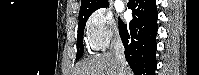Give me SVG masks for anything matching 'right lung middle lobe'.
<instances>
[{
	"instance_id": "obj_1",
	"label": "right lung middle lobe",
	"mask_w": 199,
	"mask_h": 75,
	"mask_svg": "<svg viewBox=\"0 0 199 75\" xmlns=\"http://www.w3.org/2000/svg\"><path fill=\"white\" fill-rule=\"evenodd\" d=\"M109 3L103 4L101 6H99L98 8L94 9L93 11L79 16V25H78V35H77V54H76V59H80L83 56V34H84V28H85V24L87 22V19L89 18V16L97 9L101 8V7H108Z\"/></svg>"
}]
</instances>
